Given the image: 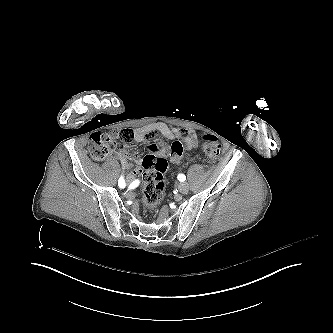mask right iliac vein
I'll use <instances>...</instances> for the list:
<instances>
[{
  "instance_id": "1",
  "label": "right iliac vein",
  "mask_w": 333,
  "mask_h": 333,
  "mask_svg": "<svg viewBox=\"0 0 333 333\" xmlns=\"http://www.w3.org/2000/svg\"><path fill=\"white\" fill-rule=\"evenodd\" d=\"M134 180V176L132 174L127 175L126 182L129 184Z\"/></svg>"
}]
</instances>
